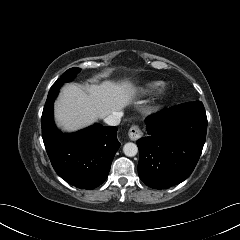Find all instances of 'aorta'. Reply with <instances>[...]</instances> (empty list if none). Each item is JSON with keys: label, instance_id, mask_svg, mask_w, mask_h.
I'll use <instances>...</instances> for the list:
<instances>
[{"label": "aorta", "instance_id": "aorta-1", "mask_svg": "<svg viewBox=\"0 0 240 240\" xmlns=\"http://www.w3.org/2000/svg\"><path fill=\"white\" fill-rule=\"evenodd\" d=\"M123 152L128 157H134L138 153V147L135 143H126L123 147Z\"/></svg>", "mask_w": 240, "mask_h": 240}]
</instances>
